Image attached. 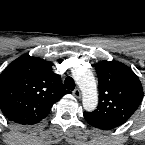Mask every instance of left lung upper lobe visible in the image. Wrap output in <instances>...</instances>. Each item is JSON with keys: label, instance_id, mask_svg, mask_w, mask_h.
<instances>
[{"label": "left lung upper lobe", "instance_id": "left-lung-upper-lobe-1", "mask_svg": "<svg viewBox=\"0 0 145 145\" xmlns=\"http://www.w3.org/2000/svg\"><path fill=\"white\" fill-rule=\"evenodd\" d=\"M99 82V103L93 112H84L93 127L110 130L124 124L143 98L138 76L125 64L102 61L95 65Z\"/></svg>", "mask_w": 145, "mask_h": 145}]
</instances>
